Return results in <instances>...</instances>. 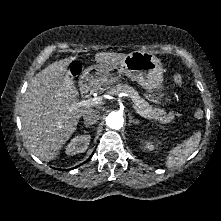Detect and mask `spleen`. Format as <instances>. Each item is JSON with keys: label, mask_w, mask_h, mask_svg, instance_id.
<instances>
[{"label": "spleen", "mask_w": 221, "mask_h": 221, "mask_svg": "<svg viewBox=\"0 0 221 221\" xmlns=\"http://www.w3.org/2000/svg\"><path fill=\"white\" fill-rule=\"evenodd\" d=\"M201 139V132L194 133L189 139L173 147L166 157L165 165L169 168L183 163L197 148Z\"/></svg>", "instance_id": "1"}]
</instances>
